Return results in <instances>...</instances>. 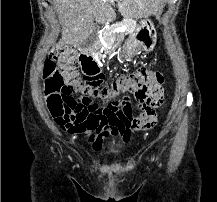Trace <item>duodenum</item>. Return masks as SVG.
<instances>
[{
  "label": "duodenum",
  "instance_id": "duodenum-1",
  "mask_svg": "<svg viewBox=\"0 0 217 202\" xmlns=\"http://www.w3.org/2000/svg\"><path fill=\"white\" fill-rule=\"evenodd\" d=\"M80 63L83 72L88 76H96L100 72V68L94 58V49L90 48L80 55Z\"/></svg>",
  "mask_w": 217,
  "mask_h": 202
}]
</instances>
